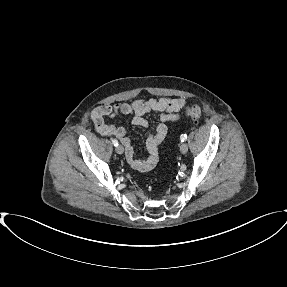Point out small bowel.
I'll return each mask as SVG.
<instances>
[{
  "label": "small bowel",
  "instance_id": "small-bowel-1",
  "mask_svg": "<svg viewBox=\"0 0 287 287\" xmlns=\"http://www.w3.org/2000/svg\"><path fill=\"white\" fill-rule=\"evenodd\" d=\"M184 105L185 100L182 98L137 99L131 104L117 103L99 106L94 109L92 118L96 131L103 136H115L118 138L125 147L127 162L134 169L145 172L156 165L159 158V145L167 134V124L179 119V112ZM150 112H158L160 114L159 123L146 140L149 152L148 158L139 159L135 157L134 149L125 128L110 124L107 122V119L118 115L129 116L133 125L148 128L149 124L144 115Z\"/></svg>",
  "mask_w": 287,
  "mask_h": 287
}]
</instances>
